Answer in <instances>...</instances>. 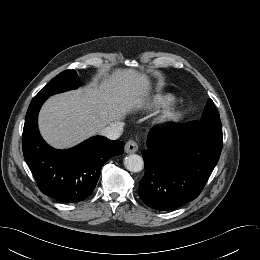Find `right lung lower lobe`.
Returning <instances> with one entry per match:
<instances>
[{
  "label": "right lung lower lobe",
  "mask_w": 260,
  "mask_h": 260,
  "mask_svg": "<svg viewBox=\"0 0 260 260\" xmlns=\"http://www.w3.org/2000/svg\"><path fill=\"white\" fill-rule=\"evenodd\" d=\"M48 97L36 95L29 105L22 137L24 158L44 194L63 203L79 202L92 194L102 166L123 153L124 143L97 136L68 150L53 149L37 125L38 112Z\"/></svg>",
  "instance_id": "1"
}]
</instances>
